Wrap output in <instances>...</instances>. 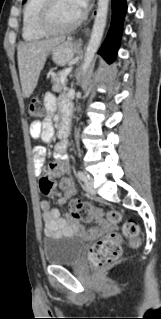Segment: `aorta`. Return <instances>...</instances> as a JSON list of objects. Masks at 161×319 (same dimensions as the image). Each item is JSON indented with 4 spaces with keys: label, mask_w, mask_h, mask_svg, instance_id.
<instances>
[{
    "label": "aorta",
    "mask_w": 161,
    "mask_h": 319,
    "mask_svg": "<svg viewBox=\"0 0 161 319\" xmlns=\"http://www.w3.org/2000/svg\"><path fill=\"white\" fill-rule=\"evenodd\" d=\"M108 7L109 0H98V7L92 28L91 37L86 48L84 62L81 67V72L83 76L87 73L91 65V62L93 61L95 53L97 52L100 46L104 29L106 26Z\"/></svg>",
    "instance_id": "1"
}]
</instances>
